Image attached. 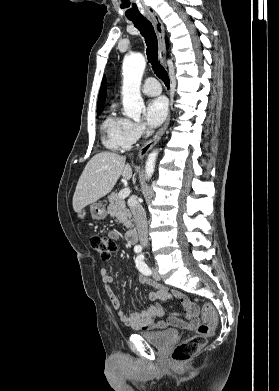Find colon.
Listing matches in <instances>:
<instances>
[{
  "label": "colon",
  "instance_id": "obj_1",
  "mask_svg": "<svg viewBox=\"0 0 279 391\" xmlns=\"http://www.w3.org/2000/svg\"><path fill=\"white\" fill-rule=\"evenodd\" d=\"M90 247L102 260H108L116 250L114 239L91 234L88 238ZM203 323L198 327L197 333L181 343L173 351L172 357L178 363L189 361L196 353L205 346L207 339L214 333L218 324V313L212 304H205L202 308Z\"/></svg>",
  "mask_w": 279,
  "mask_h": 391
}]
</instances>
